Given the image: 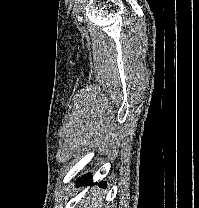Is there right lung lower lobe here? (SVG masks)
Returning <instances> with one entry per match:
<instances>
[{
	"label": "right lung lower lobe",
	"mask_w": 199,
	"mask_h": 208,
	"mask_svg": "<svg viewBox=\"0 0 199 208\" xmlns=\"http://www.w3.org/2000/svg\"><path fill=\"white\" fill-rule=\"evenodd\" d=\"M92 182V179H91V175L88 174V175H85L83 177H80L78 180H77V185H80V184H87V183H90ZM105 182H102V183H99V185L101 186H105Z\"/></svg>",
	"instance_id": "1"
}]
</instances>
